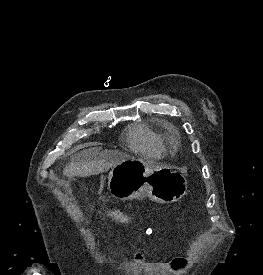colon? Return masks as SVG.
<instances>
[{
  "instance_id": "1",
  "label": "colon",
  "mask_w": 263,
  "mask_h": 275,
  "mask_svg": "<svg viewBox=\"0 0 263 275\" xmlns=\"http://www.w3.org/2000/svg\"><path fill=\"white\" fill-rule=\"evenodd\" d=\"M107 215L111 220L120 224H127L132 220V218L128 214L118 209H109L107 211ZM184 263L185 262L183 259L177 258L173 260L172 265L177 267V266L183 265Z\"/></svg>"
}]
</instances>
